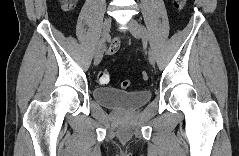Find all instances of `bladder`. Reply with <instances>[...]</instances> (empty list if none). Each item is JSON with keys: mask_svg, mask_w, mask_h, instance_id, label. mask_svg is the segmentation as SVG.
<instances>
[{"mask_svg": "<svg viewBox=\"0 0 239 156\" xmlns=\"http://www.w3.org/2000/svg\"><path fill=\"white\" fill-rule=\"evenodd\" d=\"M93 96L97 103L109 108L136 110L150 101L151 92L148 89L127 92L114 87H96Z\"/></svg>", "mask_w": 239, "mask_h": 156, "instance_id": "bladder-1", "label": "bladder"}]
</instances>
